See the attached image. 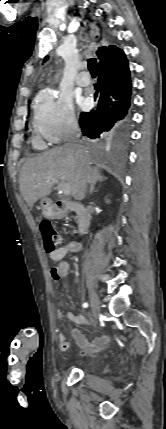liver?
<instances>
[{"instance_id": "liver-1", "label": "liver", "mask_w": 166, "mask_h": 429, "mask_svg": "<svg viewBox=\"0 0 166 429\" xmlns=\"http://www.w3.org/2000/svg\"><path fill=\"white\" fill-rule=\"evenodd\" d=\"M91 155L84 149L83 157L63 147H56L28 159L19 174V187L27 205L32 208L39 199L51 193L53 180L70 185L76 200H83L88 183L95 181L99 170L91 167Z\"/></svg>"}]
</instances>
